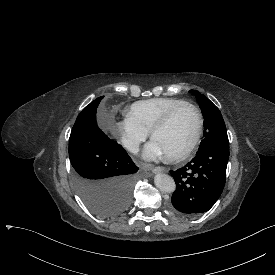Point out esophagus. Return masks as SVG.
Segmentation results:
<instances>
[{
	"instance_id": "esophagus-1",
	"label": "esophagus",
	"mask_w": 275,
	"mask_h": 275,
	"mask_svg": "<svg viewBox=\"0 0 275 275\" xmlns=\"http://www.w3.org/2000/svg\"><path fill=\"white\" fill-rule=\"evenodd\" d=\"M166 170L167 169L164 166H157V167L153 168L151 171L153 173H160V172L164 173V172H166Z\"/></svg>"
}]
</instances>
